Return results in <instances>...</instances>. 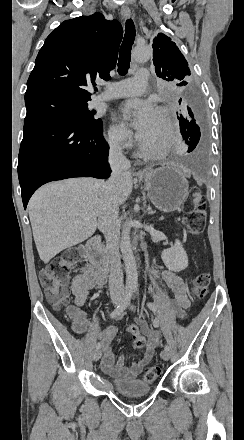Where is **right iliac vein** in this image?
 <instances>
[{"label": "right iliac vein", "instance_id": "63e3f726", "mask_svg": "<svg viewBox=\"0 0 244 440\" xmlns=\"http://www.w3.org/2000/svg\"><path fill=\"white\" fill-rule=\"evenodd\" d=\"M111 300L112 303L115 305H118L122 302L121 298L117 296H112ZM101 356H102V350L101 349L95 350L92 355L93 361H98L101 358Z\"/></svg>", "mask_w": 244, "mask_h": 440}]
</instances>
